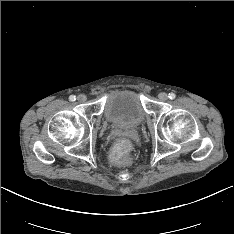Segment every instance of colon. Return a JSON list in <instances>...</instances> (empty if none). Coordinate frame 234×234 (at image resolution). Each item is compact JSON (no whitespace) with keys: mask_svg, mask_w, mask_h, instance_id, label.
<instances>
[{"mask_svg":"<svg viewBox=\"0 0 234 234\" xmlns=\"http://www.w3.org/2000/svg\"><path fill=\"white\" fill-rule=\"evenodd\" d=\"M133 150V143L128 138H121L114 142L113 148L109 152V159L112 163L118 166L134 167L137 164L136 159H130V153Z\"/></svg>","mask_w":234,"mask_h":234,"instance_id":"1","label":"colon"}]
</instances>
